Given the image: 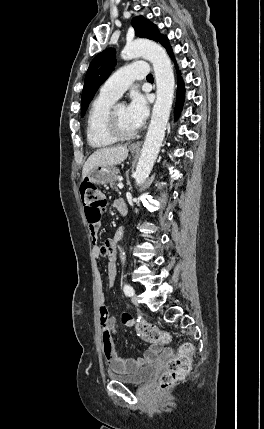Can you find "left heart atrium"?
<instances>
[{"label":"left heart atrium","mask_w":264,"mask_h":429,"mask_svg":"<svg viewBox=\"0 0 264 429\" xmlns=\"http://www.w3.org/2000/svg\"><path fill=\"white\" fill-rule=\"evenodd\" d=\"M127 114L130 121L136 128H139L147 119L149 106L144 95L135 92L131 96V101L127 106Z\"/></svg>","instance_id":"left-heart-atrium-1"}]
</instances>
